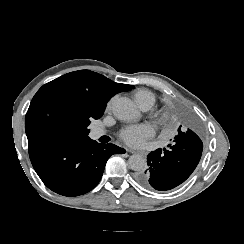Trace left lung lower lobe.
Returning <instances> with one entry per match:
<instances>
[{
  "label": "left lung lower lobe",
  "mask_w": 244,
  "mask_h": 244,
  "mask_svg": "<svg viewBox=\"0 0 244 244\" xmlns=\"http://www.w3.org/2000/svg\"><path fill=\"white\" fill-rule=\"evenodd\" d=\"M197 122L182 116L178 133L168 148H159L147 156L148 168L137 174L140 185L165 191L183 183L198 165L203 143Z\"/></svg>",
  "instance_id": "left-lung-lower-lobe-1"
}]
</instances>
